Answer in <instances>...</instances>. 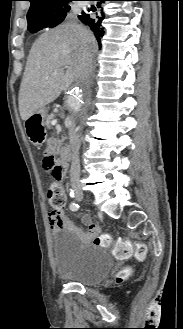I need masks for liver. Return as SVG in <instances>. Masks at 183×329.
<instances>
[{"mask_svg":"<svg viewBox=\"0 0 183 329\" xmlns=\"http://www.w3.org/2000/svg\"><path fill=\"white\" fill-rule=\"evenodd\" d=\"M97 49L92 31L74 21L43 33L31 48L20 85L22 120L53 102L73 81H80L82 52L88 50L93 55Z\"/></svg>","mask_w":183,"mask_h":329,"instance_id":"liver-1","label":"liver"}]
</instances>
